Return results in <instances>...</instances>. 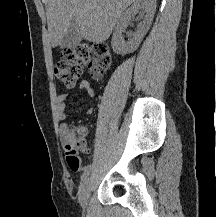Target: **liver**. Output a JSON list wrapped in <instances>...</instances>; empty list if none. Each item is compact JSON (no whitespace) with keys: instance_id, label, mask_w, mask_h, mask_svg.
Masks as SVG:
<instances>
[{"instance_id":"1","label":"liver","mask_w":216,"mask_h":217,"mask_svg":"<svg viewBox=\"0 0 216 217\" xmlns=\"http://www.w3.org/2000/svg\"><path fill=\"white\" fill-rule=\"evenodd\" d=\"M135 0H46L51 44L56 47L72 21L82 37L93 43L109 38L122 12Z\"/></svg>"}]
</instances>
